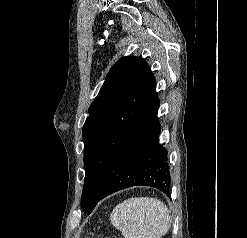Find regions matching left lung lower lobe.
Instances as JSON below:
<instances>
[{
	"label": "left lung lower lobe",
	"mask_w": 247,
	"mask_h": 238,
	"mask_svg": "<svg viewBox=\"0 0 247 238\" xmlns=\"http://www.w3.org/2000/svg\"><path fill=\"white\" fill-rule=\"evenodd\" d=\"M159 100L108 166L99 186L97 202L106 196L138 185L155 187L170 196V173L167 151L159 144Z\"/></svg>",
	"instance_id": "0a47b994"
}]
</instances>
